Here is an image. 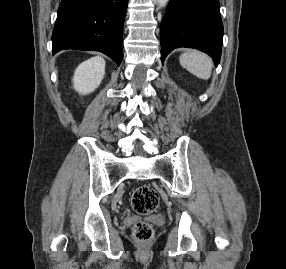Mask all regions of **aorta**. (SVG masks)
Here are the masks:
<instances>
[{"label": "aorta", "mask_w": 286, "mask_h": 269, "mask_svg": "<svg viewBox=\"0 0 286 269\" xmlns=\"http://www.w3.org/2000/svg\"><path fill=\"white\" fill-rule=\"evenodd\" d=\"M169 0H157L160 7H164L167 5Z\"/></svg>", "instance_id": "obj_1"}]
</instances>
